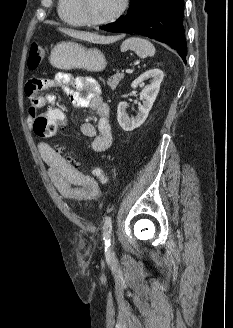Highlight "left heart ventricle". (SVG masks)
I'll return each mask as SVG.
<instances>
[{"mask_svg": "<svg viewBox=\"0 0 233 328\" xmlns=\"http://www.w3.org/2000/svg\"><path fill=\"white\" fill-rule=\"evenodd\" d=\"M121 0H84L87 15L95 20L103 19L114 13Z\"/></svg>", "mask_w": 233, "mask_h": 328, "instance_id": "b2bd125f", "label": "left heart ventricle"}]
</instances>
